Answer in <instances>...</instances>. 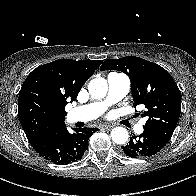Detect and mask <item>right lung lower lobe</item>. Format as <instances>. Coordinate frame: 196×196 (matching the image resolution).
Instances as JSON below:
<instances>
[{
    "label": "right lung lower lobe",
    "mask_w": 196,
    "mask_h": 196,
    "mask_svg": "<svg viewBox=\"0 0 196 196\" xmlns=\"http://www.w3.org/2000/svg\"><path fill=\"white\" fill-rule=\"evenodd\" d=\"M70 133L66 125L52 132L36 144L33 149L46 160L58 165L76 162L82 158L88 149L89 137L97 131V128L74 129Z\"/></svg>",
    "instance_id": "1"
}]
</instances>
